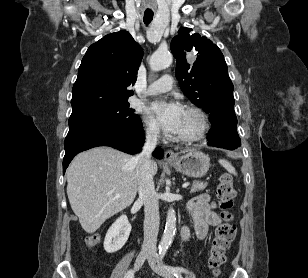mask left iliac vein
Segmentation results:
<instances>
[{
	"label": "left iliac vein",
	"mask_w": 308,
	"mask_h": 278,
	"mask_svg": "<svg viewBox=\"0 0 308 278\" xmlns=\"http://www.w3.org/2000/svg\"><path fill=\"white\" fill-rule=\"evenodd\" d=\"M148 262L152 270L158 275L164 278H174L173 274L169 272L163 265H161L157 260V254L152 252L148 257Z\"/></svg>",
	"instance_id": "4c4485c4"
}]
</instances>
